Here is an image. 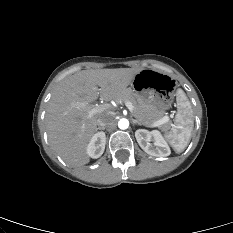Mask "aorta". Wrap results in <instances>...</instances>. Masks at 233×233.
<instances>
[{"label":"aorta","mask_w":233,"mask_h":233,"mask_svg":"<svg viewBox=\"0 0 233 233\" xmlns=\"http://www.w3.org/2000/svg\"><path fill=\"white\" fill-rule=\"evenodd\" d=\"M118 127L122 130H125L129 127V121L128 119L126 118H121L119 121H118Z\"/></svg>","instance_id":"1"}]
</instances>
